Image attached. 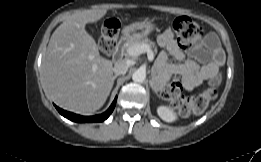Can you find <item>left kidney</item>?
Listing matches in <instances>:
<instances>
[{"label": "left kidney", "instance_id": "obj_1", "mask_svg": "<svg viewBox=\"0 0 261 162\" xmlns=\"http://www.w3.org/2000/svg\"><path fill=\"white\" fill-rule=\"evenodd\" d=\"M157 113L159 117L166 122H174L177 119V114L168 106H159Z\"/></svg>", "mask_w": 261, "mask_h": 162}]
</instances>
